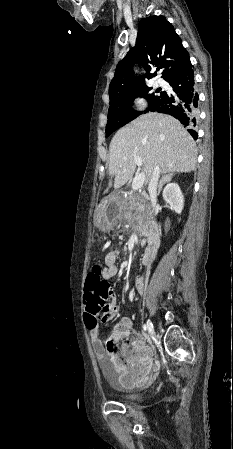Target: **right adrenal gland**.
<instances>
[{"instance_id":"1","label":"right adrenal gland","mask_w":233,"mask_h":449,"mask_svg":"<svg viewBox=\"0 0 233 449\" xmlns=\"http://www.w3.org/2000/svg\"><path fill=\"white\" fill-rule=\"evenodd\" d=\"M173 175H174V173H173V172H171V173H168V174L164 175V176H163V177L161 178V180L159 181V184H158V191H157V195H159V194H160V192H161V190H162V187H163V185H164L165 183H167V182H170V181H171V179H172Z\"/></svg>"}]
</instances>
